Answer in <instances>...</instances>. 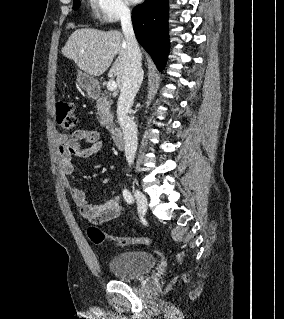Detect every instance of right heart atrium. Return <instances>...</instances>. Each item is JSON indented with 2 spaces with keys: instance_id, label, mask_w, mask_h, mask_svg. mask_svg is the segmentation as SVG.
Masks as SVG:
<instances>
[{
  "instance_id": "right-heart-atrium-1",
  "label": "right heart atrium",
  "mask_w": 284,
  "mask_h": 319,
  "mask_svg": "<svg viewBox=\"0 0 284 319\" xmlns=\"http://www.w3.org/2000/svg\"><path fill=\"white\" fill-rule=\"evenodd\" d=\"M94 16L104 24L115 23L130 16L126 0H90Z\"/></svg>"
}]
</instances>
